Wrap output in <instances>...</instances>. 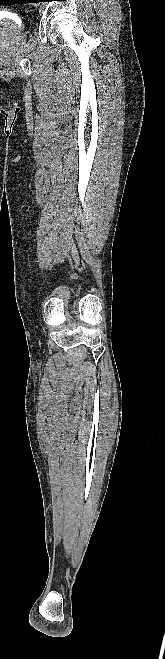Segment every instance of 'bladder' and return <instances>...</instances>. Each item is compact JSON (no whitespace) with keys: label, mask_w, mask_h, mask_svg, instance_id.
Instances as JSON below:
<instances>
[{"label":"bladder","mask_w":165,"mask_h":659,"mask_svg":"<svg viewBox=\"0 0 165 659\" xmlns=\"http://www.w3.org/2000/svg\"><path fill=\"white\" fill-rule=\"evenodd\" d=\"M23 31V27H19L16 24L14 27L7 25L6 23H0V34H10L17 35Z\"/></svg>","instance_id":"31cf9c89"}]
</instances>
